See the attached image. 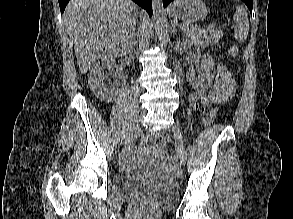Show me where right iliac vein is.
I'll return each instance as SVG.
<instances>
[{
	"mask_svg": "<svg viewBox=\"0 0 293 219\" xmlns=\"http://www.w3.org/2000/svg\"><path fill=\"white\" fill-rule=\"evenodd\" d=\"M141 129V119H136L134 123L131 125L127 134L122 139V144H127L131 141V139L139 133Z\"/></svg>",
	"mask_w": 293,
	"mask_h": 219,
	"instance_id": "1",
	"label": "right iliac vein"
}]
</instances>
